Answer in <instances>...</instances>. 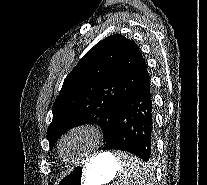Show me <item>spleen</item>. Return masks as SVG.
Wrapping results in <instances>:
<instances>
[{
    "mask_svg": "<svg viewBox=\"0 0 207 185\" xmlns=\"http://www.w3.org/2000/svg\"><path fill=\"white\" fill-rule=\"evenodd\" d=\"M136 153H117L118 163H121L120 178L116 179V185H145L147 179H154V174H149V166L142 159L136 158Z\"/></svg>",
    "mask_w": 207,
    "mask_h": 185,
    "instance_id": "1",
    "label": "spleen"
}]
</instances>
